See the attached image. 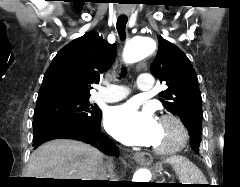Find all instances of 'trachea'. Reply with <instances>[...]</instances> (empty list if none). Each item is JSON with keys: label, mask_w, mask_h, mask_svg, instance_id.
<instances>
[{"label": "trachea", "mask_w": 240, "mask_h": 187, "mask_svg": "<svg viewBox=\"0 0 240 187\" xmlns=\"http://www.w3.org/2000/svg\"><path fill=\"white\" fill-rule=\"evenodd\" d=\"M127 21H128L127 17H119L117 19L116 27L121 39L125 38V28H126ZM122 75H125V69L122 70Z\"/></svg>", "instance_id": "trachea-1"}]
</instances>
